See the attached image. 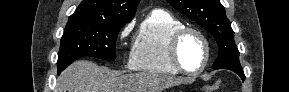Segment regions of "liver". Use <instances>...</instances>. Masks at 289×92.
<instances>
[{"instance_id": "liver-1", "label": "liver", "mask_w": 289, "mask_h": 92, "mask_svg": "<svg viewBox=\"0 0 289 92\" xmlns=\"http://www.w3.org/2000/svg\"><path fill=\"white\" fill-rule=\"evenodd\" d=\"M57 92H161L181 79L143 72L119 75L90 61H76L58 77Z\"/></svg>"}]
</instances>
